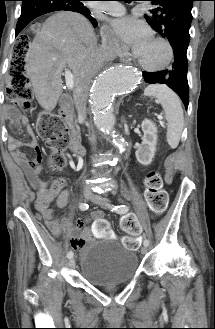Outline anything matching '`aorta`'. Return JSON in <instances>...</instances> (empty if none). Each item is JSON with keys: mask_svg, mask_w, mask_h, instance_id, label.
Returning <instances> with one entry per match:
<instances>
[{"mask_svg": "<svg viewBox=\"0 0 215 329\" xmlns=\"http://www.w3.org/2000/svg\"><path fill=\"white\" fill-rule=\"evenodd\" d=\"M139 74L130 66L113 65L106 68L94 81L90 90V104L94 123L98 129L112 133L115 126L113 100L118 93L128 92L137 86ZM122 147L125 142L116 139Z\"/></svg>", "mask_w": 215, "mask_h": 329, "instance_id": "1", "label": "aorta"}]
</instances>
